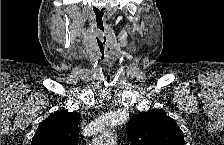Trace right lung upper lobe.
Segmentation results:
<instances>
[{
	"mask_svg": "<svg viewBox=\"0 0 224 145\" xmlns=\"http://www.w3.org/2000/svg\"><path fill=\"white\" fill-rule=\"evenodd\" d=\"M79 114L58 111L42 121L31 145H76L79 138Z\"/></svg>",
	"mask_w": 224,
	"mask_h": 145,
	"instance_id": "cb5924a9",
	"label": "right lung upper lobe"
}]
</instances>
